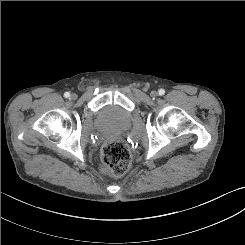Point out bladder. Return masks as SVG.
<instances>
[{"mask_svg": "<svg viewBox=\"0 0 245 245\" xmlns=\"http://www.w3.org/2000/svg\"><path fill=\"white\" fill-rule=\"evenodd\" d=\"M132 123L131 114L119 107L107 106L101 109L95 120V128L100 132H125Z\"/></svg>", "mask_w": 245, "mask_h": 245, "instance_id": "31cf9c89", "label": "bladder"}]
</instances>
